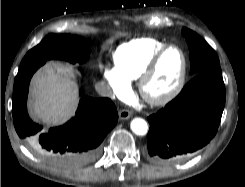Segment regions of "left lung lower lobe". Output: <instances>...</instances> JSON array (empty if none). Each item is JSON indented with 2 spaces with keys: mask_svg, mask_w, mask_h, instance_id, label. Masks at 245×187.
Instances as JSON below:
<instances>
[{
  "mask_svg": "<svg viewBox=\"0 0 245 187\" xmlns=\"http://www.w3.org/2000/svg\"><path fill=\"white\" fill-rule=\"evenodd\" d=\"M224 105L220 66L196 74L174 100L148 117V158L171 164L192 156L215 136Z\"/></svg>",
  "mask_w": 245,
  "mask_h": 187,
  "instance_id": "obj_1",
  "label": "left lung lower lobe"
}]
</instances>
